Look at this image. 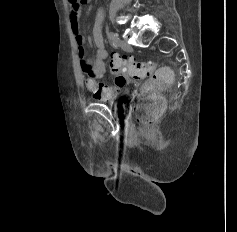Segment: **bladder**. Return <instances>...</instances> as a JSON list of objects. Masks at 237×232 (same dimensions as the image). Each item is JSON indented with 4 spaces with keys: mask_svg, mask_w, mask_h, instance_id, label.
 I'll return each instance as SVG.
<instances>
[{
    "mask_svg": "<svg viewBox=\"0 0 237 232\" xmlns=\"http://www.w3.org/2000/svg\"><path fill=\"white\" fill-rule=\"evenodd\" d=\"M110 103H112L115 107H119V103L115 99L110 101Z\"/></svg>",
    "mask_w": 237,
    "mask_h": 232,
    "instance_id": "obj_1",
    "label": "bladder"
}]
</instances>
